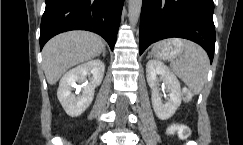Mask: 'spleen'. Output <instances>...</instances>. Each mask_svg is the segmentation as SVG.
Here are the masks:
<instances>
[{
	"label": "spleen",
	"instance_id": "3e777b00",
	"mask_svg": "<svg viewBox=\"0 0 243 145\" xmlns=\"http://www.w3.org/2000/svg\"><path fill=\"white\" fill-rule=\"evenodd\" d=\"M173 43L182 47L178 60L171 61L172 71L189 87L198 94L203 89L207 80L209 58L205 50L191 41L174 39Z\"/></svg>",
	"mask_w": 243,
	"mask_h": 145
}]
</instances>
